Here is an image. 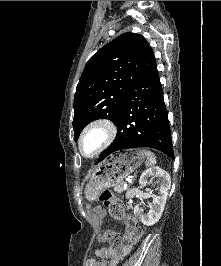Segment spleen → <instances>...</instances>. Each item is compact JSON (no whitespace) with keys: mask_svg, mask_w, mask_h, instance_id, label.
<instances>
[{"mask_svg":"<svg viewBox=\"0 0 221 266\" xmlns=\"http://www.w3.org/2000/svg\"><path fill=\"white\" fill-rule=\"evenodd\" d=\"M145 155L147 156L146 166H152L156 164V157L151 151L145 152Z\"/></svg>","mask_w":221,"mask_h":266,"instance_id":"spleen-1","label":"spleen"}]
</instances>
